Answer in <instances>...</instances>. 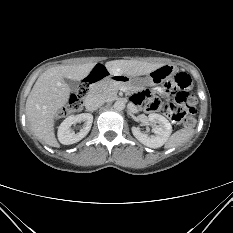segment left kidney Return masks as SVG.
<instances>
[{
    "instance_id": "obj_1",
    "label": "left kidney",
    "mask_w": 233,
    "mask_h": 233,
    "mask_svg": "<svg viewBox=\"0 0 233 233\" xmlns=\"http://www.w3.org/2000/svg\"><path fill=\"white\" fill-rule=\"evenodd\" d=\"M149 121L154 125V135L148 136L142 133L137 127H132L134 137L143 145L150 148H159L163 146L172 133L170 122L162 115L151 113L148 116Z\"/></svg>"
}]
</instances>
